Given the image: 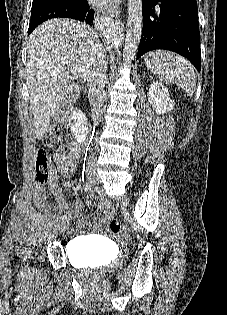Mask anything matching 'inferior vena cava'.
Instances as JSON below:
<instances>
[{"label": "inferior vena cava", "mask_w": 227, "mask_h": 315, "mask_svg": "<svg viewBox=\"0 0 227 315\" xmlns=\"http://www.w3.org/2000/svg\"><path fill=\"white\" fill-rule=\"evenodd\" d=\"M102 48H99V53L94 60L93 68L91 70L89 78V102L92 111V119L97 122L101 116V109L103 106V98L105 95V84L107 81V56L106 52L101 51Z\"/></svg>", "instance_id": "602c4592"}]
</instances>
